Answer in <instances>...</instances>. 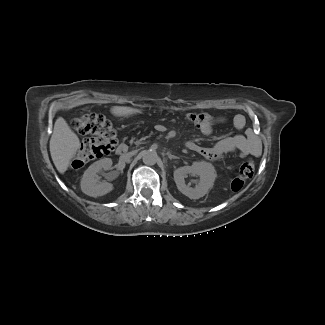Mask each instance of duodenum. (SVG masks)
Listing matches in <instances>:
<instances>
[{"mask_svg": "<svg viewBox=\"0 0 325 325\" xmlns=\"http://www.w3.org/2000/svg\"><path fill=\"white\" fill-rule=\"evenodd\" d=\"M117 153L119 156H125L128 153V146L126 144H121L117 149Z\"/></svg>", "mask_w": 325, "mask_h": 325, "instance_id": "410a0bca", "label": "duodenum"}]
</instances>
